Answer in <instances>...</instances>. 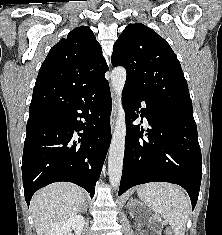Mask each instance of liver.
<instances>
[{"label":"liver","instance_id":"liver-1","mask_svg":"<svg viewBox=\"0 0 222 235\" xmlns=\"http://www.w3.org/2000/svg\"><path fill=\"white\" fill-rule=\"evenodd\" d=\"M84 201L82 189L66 182L50 184L36 192L30 210L37 235H48L55 225L76 216Z\"/></svg>","mask_w":222,"mask_h":235}]
</instances>
